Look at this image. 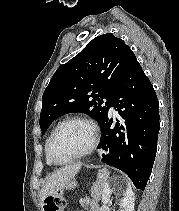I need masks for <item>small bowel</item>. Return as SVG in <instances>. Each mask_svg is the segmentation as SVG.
Masks as SVG:
<instances>
[{"mask_svg":"<svg viewBox=\"0 0 179 211\" xmlns=\"http://www.w3.org/2000/svg\"><path fill=\"white\" fill-rule=\"evenodd\" d=\"M89 211H99V207L96 204H90Z\"/></svg>","mask_w":179,"mask_h":211,"instance_id":"obj_1","label":"small bowel"}]
</instances>
